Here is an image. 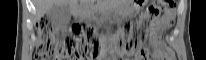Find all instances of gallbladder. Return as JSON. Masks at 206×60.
<instances>
[{
    "label": "gallbladder",
    "mask_w": 206,
    "mask_h": 60,
    "mask_svg": "<svg viewBox=\"0 0 206 60\" xmlns=\"http://www.w3.org/2000/svg\"><path fill=\"white\" fill-rule=\"evenodd\" d=\"M71 10L68 3L62 2L54 5L48 12L47 16L53 26L57 29H64L71 19Z\"/></svg>",
    "instance_id": "bac80fb5"
}]
</instances>
